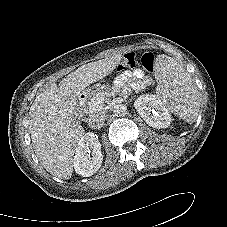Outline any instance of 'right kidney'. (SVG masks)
<instances>
[{
    "instance_id": "right-kidney-1",
    "label": "right kidney",
    "mask_w": 227,
    "mask_h": 227,
    "mask_svg": "<svg viewBox=\"0 0 227 227\" xmlns=\"http://www.w3.org/2000/svg\"><path fill=\"white\" fill-rule=\"evenodd\" d=\"M102 161L103 155L98 137L92 132L86 133L76 147L73 159L75 172L83 177L92 176L99 170Z\"/></svg>"
}]
</instances>
